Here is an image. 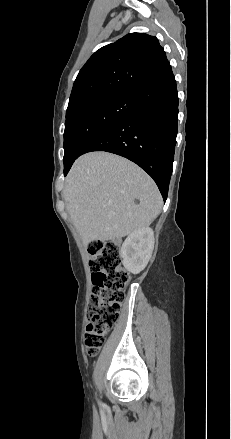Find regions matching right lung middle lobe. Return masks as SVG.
Wrapping results in <instances>:
<instances>
[{
	"mask_svg": "<svg viewBox=\"0 0 231 439\" xmlns=\"http://www.w3.org/2000/svg\"><path fill=\"white\" fill-rule=\"evenodd\" d=\"M136 110L134 93L104 94L68 109L64 132V168L79 157L82 146L94 134Z\"/></svg>",
	"mask_w": 231,
	"mask_h": 439,
	"instance_id": "1",
	"label": "right lung middle lobe"
}]
</instances>
